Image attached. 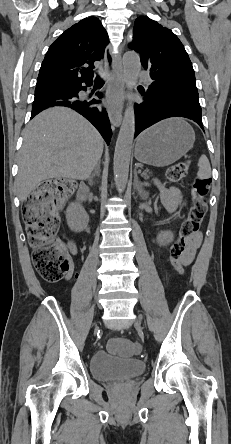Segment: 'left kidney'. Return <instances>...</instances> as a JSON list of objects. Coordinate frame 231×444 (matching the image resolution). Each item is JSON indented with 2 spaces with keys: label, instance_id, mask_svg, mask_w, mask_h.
<instances>
[{
  "label": "left kidney",
  "instance_id": "5707ae66",
  "mask_svg": "<svg viewBox=\"0 0 231 444\" xmlns=\"http://www.w3.org/2000/svg\"><path fill=\"white\" fill-rule=\"evenodd\" d=\"M173 233L171 231H162L158 234L157 239L160 245H167L173 240Z\"/></svg>",
  "mask_w": 231,
  "mask_h": 444
}]
</instances>
